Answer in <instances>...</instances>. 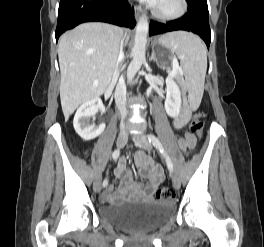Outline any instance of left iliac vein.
<instances>
[{
  "instance_id": "1",
  "label": "left iliac vein",
  "mask_w": 264,
  "mask_h": 247,
  "mask_svg": "<svg viewBox=\"0 0 264 247\" xmlns=\"http://www.w3.org/2000/svg\"><path fill=\"white\" fill-rule=\"evenodd\" d=\"M133 141L141 148L145 149V150H151L152 149V145L149 142L148 138L143 135V134H139L135 137H133ZM172 184L173 187L175 189H179L180 188V180L177 177V175L173 174L172 175Z\"/></svg>"
}]
</instances>
